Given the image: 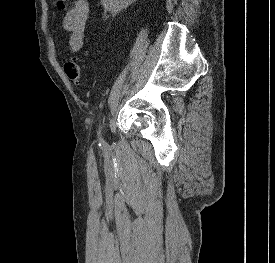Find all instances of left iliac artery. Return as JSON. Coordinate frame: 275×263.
<instances>
[{
  "label": "left iliac artery",
  "mask_w": 275,
  "mask_h": 263,
  "mask_svg": "<svg viewBox=\"0 0 275 263\" xmlns=\"http://www.w3.org/2000/svg\"><path fill=\"white\" fill-rule=\"evenodd\" d=\"M98 140L100 143L104 144V140L102 138V133H101V126H99L98 132H97Z\"/></svg>",
  "instance_id": "1"
}]
</instances>
